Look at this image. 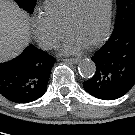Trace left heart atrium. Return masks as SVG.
<instances>
[{
	"label": "left heart atrium",
	"mask_w": 135,
	"mask_h": 135,
	"mask_svg": "<svg viewBox=\"0 0 135 135\" xmlns=\"http://www.w3.org/2000/svg\"><path fill=\"white\" fill-rule=\"evenodd\" d=\"M86 45L74 38L73 36L67 35L62 47L61 52L63 54H77L83 50Z\"/></svg>",
	"instance_id": "1"
}]
</instances>
